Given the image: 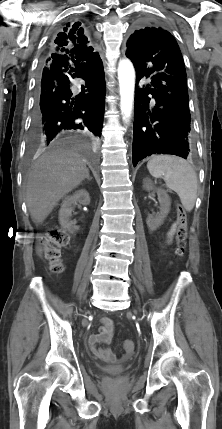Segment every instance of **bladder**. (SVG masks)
<instances>
[{
    "instance_id": "bladder-1",
    "label": "bladder",
    "mask_w": 222,
    "mask_h": 429,
    "mask_svg": "<svg viewBox=\"0 0 222 429\" xmlns=\"http://www.w3.org/2000/svg\"><path fill=\"white\" fill-rule=\"evenodd\" d=\"M128 366H98L100 373L109 376H119L125 373Z\"/></svg>"
}]
</instances>
